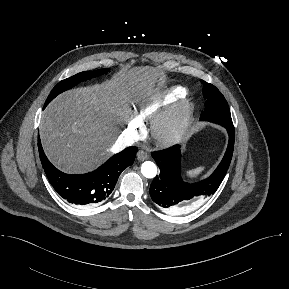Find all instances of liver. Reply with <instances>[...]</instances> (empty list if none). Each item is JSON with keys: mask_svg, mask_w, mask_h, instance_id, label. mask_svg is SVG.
<instances>
[{"mask_svg": "<svg viewBox=\"0 0 289 289\" xmlns=\"http://www.w3.org/2000/svg\"><path fill=\"white\" fill-rule=\"evenodd\" d=\"M159 77V70L150 66L123 68L102 84L60 94L41 117L40 137L48 159L69 174L97 168L112 151L129 103L151 95Z\"/></svg>", "mask_w": 289, "mask_h": 289, "instance_id": "liver-1", "label": "liver"}]
</instances>
